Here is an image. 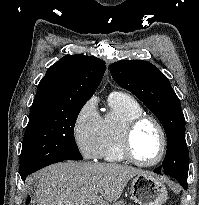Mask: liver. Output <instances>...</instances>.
<instances>
[{"mask_svg":"<svg viewBox=\"0 0 199 205\" xmlns=\"http://www.w3.org/2000/svg\"><path fill=\"white\" fill-rule=\"evenodd\" d=\"M142 173L127 165L67 161L35 173L28 183L35 181L36 205H109Z\"/></svg>","mask_w":199,"mask_h":205,"instance_id":"6515ba94","label":"liver"}]
</instances>
